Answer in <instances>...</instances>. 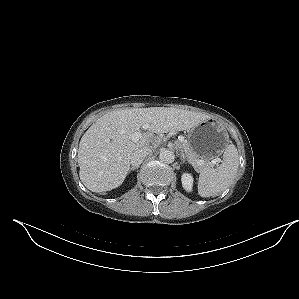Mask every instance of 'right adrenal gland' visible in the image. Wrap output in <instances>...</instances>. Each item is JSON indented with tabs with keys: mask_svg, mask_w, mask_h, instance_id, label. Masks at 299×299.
Listing matches in <instances>:
<instances>
[{
	"mask_svg": "<svg viewBox=\"0 0 299 299\" xmlns=\"http://www.w3.org/2000/svg\"><path fill=\"white\" fill-rule=\"evenodd\" d=\"M136 169H138V167H131V168L129 169V172H131L132 170H136Z\"/></svg>",
	"mask_w": 299,
	"mask_h": 299,
	"instance_id": "obj_1",
	"label": "right adrenal gland"
}]
</instances>
